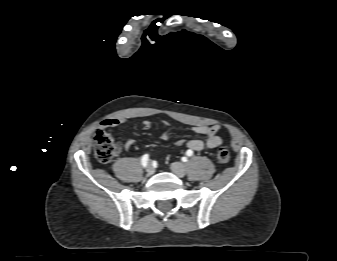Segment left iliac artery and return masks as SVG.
I'll return each mask as SVG.
<instances>
[{"instance_id":"1","label":"left iliac artery","mask_w":337,"mask_h":261,"mask_svg":"<svg viewBox=\"0 0 337 261\" xmlns=\"http://www.w3.org/2000/svg\"><path fill=\"white\" fill-rule=\"evenodd\" d=\"M186 155L189 156V157L192 156V155H193V151H192V150H188V151L186 152Z\"/></svg>"}]
</instances>
